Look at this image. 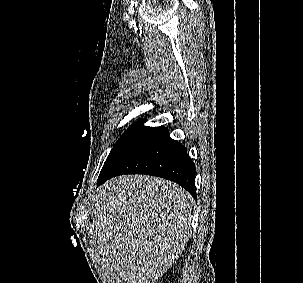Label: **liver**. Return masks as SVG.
Instances as JSON below:
<instances>
[{
    "instance_id": "obj_1",
    "label": "liver",
    "mask_w": 303,
    "mask_h": 283,
    "mask_svg": "<svg viewBox=\"0 0 303 283\" xmlns=\"http://www.w3.org/2000/svg\"><path fill=\"white\" fill-rule=\"evenodd\" d=\"M194 200L173 182L120 176L100 189L92 236L127 283H154L176 263L191 231Z\"/></svg>"
}]
</instances>
